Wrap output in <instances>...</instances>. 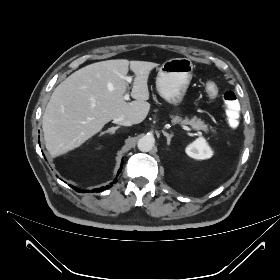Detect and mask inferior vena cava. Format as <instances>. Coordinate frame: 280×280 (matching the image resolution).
<instances>
[{
	"instance_id": "1",
	"label": "inferior vena cava",
	"mask_w": 280,
	"mask_h": 280,
	"mask_svg": "<svg viewBox=\"0 0 280 280\" xmlns=\"http://www.w3.org/2000/svg\"><path fill=\"white\" fill-rule=\"evenodd\" d=\"M113 123L123 126H131L133 125V121L130 119H127L125 117H117L113 119Z\"/></svg>"
}]
</instances>
